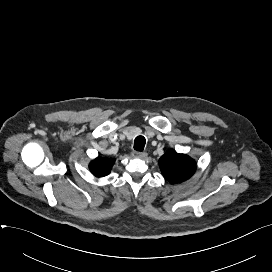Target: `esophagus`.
<instances>
[{"instance_id":"esophagus-1","label":"esophagus","mask_w":272,"mask_h":272,"mask_svg":"<svg viewBox=\"0 0 272 272\" xmlns=\"http://www.w3.org/2000/svg\"><path fill=\"white\" fill-rule=\"evenodd\" d=\"M133 155L137 158L145 159L147 157L146 152H134Z\"/></svg>"}]
</instances>
